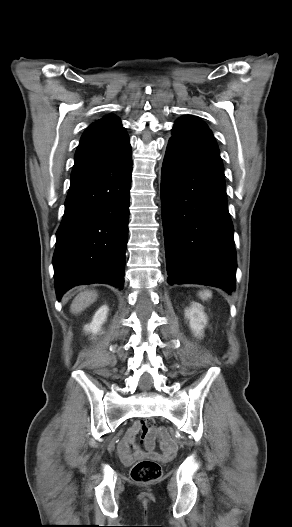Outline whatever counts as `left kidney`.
<instances>
[{
	"label": "left kidney",
	"instance_id": "obj_1",
	"mask_svg": "<svg viewBox=\"0 0 292 527\" xmlns=\"http://www.w3.org/2000/svg\"><path fill=\"white\" fill-rule=\"evenodd\" d=\"M185 317L189 320V326L196 337L203 336V329L207 322L206 314L203 307L197 303H193L187 310H185Z\"/></svg>",
	"mask_w": 292,
	"mask_h": 527
}]
</instances>
